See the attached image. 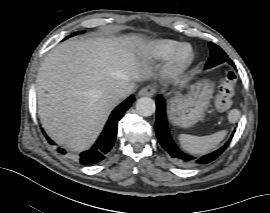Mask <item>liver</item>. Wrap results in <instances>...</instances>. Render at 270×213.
Masks as SVG:
<instances>
[{
  "label": "liver",
  "mask_w": 270,
  "mask_h": 213,
  "mask_svg": "<svg viewBox=\"0 0 270 213\" xmlns=\"http://www.w3.org/2000/svg\"><path fill=\"white\" fill-rule=\"evenodd\" d=\"M138 36L69 40L52 49L38 71V113L57 143L83 151L97 139L118 100L111 91L150 75ZM127 94V95H128Z\"/></svg>",
  "instance_id": "1"
}]
</instances>
